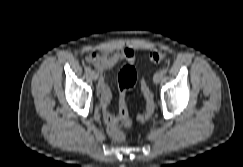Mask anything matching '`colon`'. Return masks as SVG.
<instances>
[{"instance_id":"5ec220e1","label":"colon","mask_w":243,"mask_h":167,"mask_svg":"<svg viewBox=\"0 0 243 167\" xmlns=\"http://www.w3.org/2000/svg\"><path fill=\"white\" fill-rule=\"evenodd\" d=\"M167 57L163 51H154L150 54L149 60L152 63H159ZM137 80V73L133 66H124L118 74V87L120 93L132 88ZM141 91L145 100V111L138 116V120L145 122L151 118L155 110L154 96L146 82H142ZM131 120L128 117L126 107H122L118 117V121L108 126V132L115 141H122L124 135L122 129L128 127Z\"/></svg>"}]
</instances>
